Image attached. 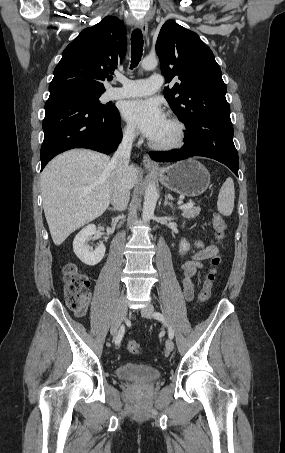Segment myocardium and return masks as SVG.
Returning a JSON list of instances; mask_svg holds the SVG:
<instances>
[{
	"instance_id": "myocardium-1",
	"label": "myocardium",
	"mask_w": 285,
	"mask_h": 453,
	"mask_svg": "<svg viewBox=\"0 0 285 453\" xmlns=\"http://www.w3.org/2000/svg\"><path fill=\"white\" fill-rule=\"evenodd\" d=\"M167 120L171 122L176 128V136L172 141L165 143H158L153 140L150 141V146L156 150L171 151L176 150L184 146L187 139V128L184 122L174 115L167 117Z\"/></svg>"
}]
</instances>
